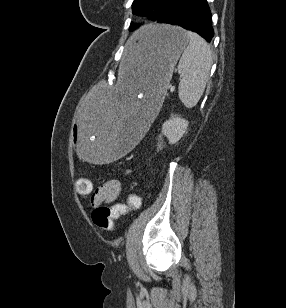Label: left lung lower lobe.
<instances>
[{
	"instance_id": "obj_1",
	"label": "left lung lower lobe",
	"mask_w": 286,
	"mask_h": 308,
	"mask_svg": "<svg viewBox=\"0 0 286 308\" xmlns=\"http://www.w3.org/2000/svg\"><path fill=\"white\" fill-rule=\"evenodd\" d=\"M156 21L192 30L208 42L214 36L207 0H172Z\"/></svg>"
}]
</instances>
